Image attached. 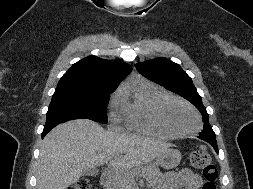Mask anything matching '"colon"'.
Returning <instances> with one entry per match:
<instances>
[{
    "instance_id": "obj_1",
    "label": "colon",
    "mask_w": 253,
    "mask_h": 189,
    "mask_svg": "<svg viewBox=\"0 0 253 189\" xmlns=\"http://www.w3.org/2000/svg\"><path fill=\"white\" fill-rule=\"evenodd\" d=\"M190 164L200 170L205 178L202 189H216L217 168L212 162L210 155L203 150H194L189 156ZM91 181L88 178H81L68 189H91Z\"/></svg>"
}]
</instances>
